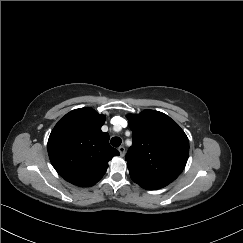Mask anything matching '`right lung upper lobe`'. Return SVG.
Listing matches in <instances>:
<instances>
[{
    "instance_id": "cb5924a9",
    "label": "right lung upper lobe",
    "mask_w": 243,
    "mask_h": 243,
    "mask_svg": "<svg viewBox=\"0 0 243 243\" xmlns=\"http://www.w3.org/2000/svg\"><path fill=\"white\" fill-rule=\"evenodd\" d=\"M105 116L90 107L67 113L54 127L48 140V154L58 174L81 187L97 183L108 161L119 152L110 146L108 133L101 127Z\"/></svg>"
}]
</instances>
